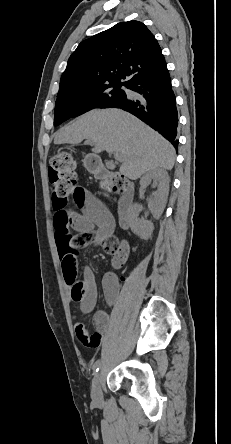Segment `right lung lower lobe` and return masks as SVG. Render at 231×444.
I'll return each mask as SVG.
<instances>
[{"instance_id": "right-lung-lower-lobe-1", "label": "right lung lower lobe", "mask_w": 231, "mask_h": 444, "mask_svg": "<svg viewBox=\"0 0 231 444\" xmlns=\"http://www.w3.org/2000/svg\"><path fill=\"white\" fill-rule=\"evenodd\" d=\"M141 95L139 99L127 96L111 107L122 108L161 133L177 149L178 113L167 67L142 77L128 87Z\"/></svg>"}]
</instances>
